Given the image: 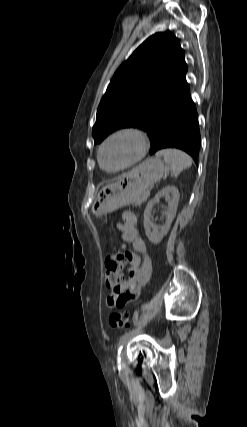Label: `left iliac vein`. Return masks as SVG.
<instances>
[{
  "mask_svg": "<svg viewBox=\"0 0 247 427\" xmlns=\"http://www.w3.org/2000/svg\"><path fill=\"white\" fill-rule=\"evenodd\" d=\"M127 340V339H126ZM126 340L123 342V345L125 344ZM119 359H120V366H123V359H124V351H121L119 354Z\"/></svg>",
  "mask_w": 247,
  "mask_h": 427,
  "instance_id": "left-iliac-vein-1",
  "label": "left iliac vein"
}]
</instances>
